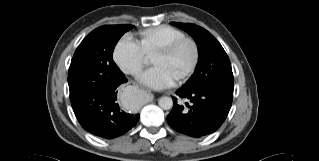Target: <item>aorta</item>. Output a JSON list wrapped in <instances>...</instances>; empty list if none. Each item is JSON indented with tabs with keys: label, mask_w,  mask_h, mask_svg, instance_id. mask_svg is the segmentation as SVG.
<instances>
[{
	"label": "aorta",
	"mask_w": 319,
	"mask_h": 161,
	"mask_svg": "<svg viewBox=\"0 0 319 161\" xmlns=\"http://www.w3.org/2000/svg\"><path fill=\"white\" fill-rule=\"evenodd\" d=\"M158 104L163 110H169L173 107V100L170 97L163 96L159 99Z\"/></svg>",
	"instance_id": "762f6f07"
}]
</instances>
